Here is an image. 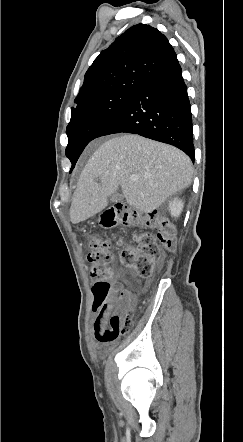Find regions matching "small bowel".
Masks as SVG:
<instances>
[{
	"instance_id": "small-bowel-1",
	"label": "small bowel",
	"mask_w": 243,
	"mask_h": 442,
	"mask_svg": "<svg viewBox=\"0 0 243 442\" xmlns=\"http://www.w3.org/2000/svg\"><path fill=\"white\" fill-rule=\"evenodd\" d=\"M134 301V296L129 291H122L118 297L113 299V304L109 306H103L100 308H94L93 312L95 314V319L93 321V332L96 341L100 346L107 350L108 346L112 341L101 340L102 334L107 329L108 317L114 308V314L125 311L127 308L131 307ZM114 341V340H113Z\"/></svg>"
}]
</instances>
